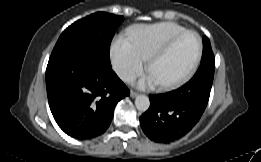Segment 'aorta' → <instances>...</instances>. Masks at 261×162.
<instances>
[{
  "label": "aorta",
  "instance_id": "obj_1",
  "mask_svg": "<svg viewBox=\"0 0 261 162\" xmlns=\"http://www.w3.org/2000/svg\"><path fill=\"white\" fill-rule=\"evenodd\" d=\"M135 106L139 111H147L150 106L149 98L145 95H138L135 99Z\"/></svg>",
  "mask_w": 261,
  "mask_h": 162
}]
</instances>
